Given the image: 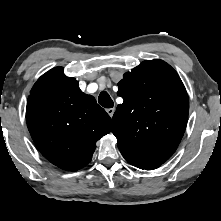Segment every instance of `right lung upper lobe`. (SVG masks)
Wrapping results in <instances>:
<instances>
[{
  "mask_svg": "<svg viewBox=\"0 0 221 221\" xmlns=\"http://www.w3.org/2000/svg\"><path fill=\"white\" fill-rule=\"evenodd\" d=\"M26 122L42 155L67 171L85 167L96 142L111 131V118L75 78L55 67L41 76L27 101Z\"/></svg>",
  "mask_w": 221,
  "mask_h": 221,
  "instance_id": "right-lung-upper-lobe-1",
  "label": "right lung upper lobe"
}]
</instances>
